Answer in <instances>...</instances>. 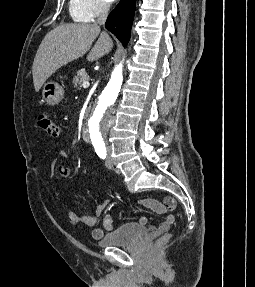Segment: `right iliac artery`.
Returning <instances> with one entry per match:
<instances>
[{"label": "right iliac artery", "instance_id": "obj_1", "mask_svg": "<svg viewBox=\"0 0 255 287\" xmlns=\"http://www.w3.org/2000/svg\"><path fill=\"white\" fill-rule=\"evenodd\" d=\"M95 151L100 158L105 159V157H106V148L105 147H99V148L95 149Z\"/></svg>", "mask_w": 255, "mask_h": 287}]
</instances>
